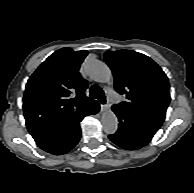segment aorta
<instances>
[{
    "mask_svg": "<svg viewBox=\"0 0 194 193\" xmlns=\"http://www.w3.org/2000/svg\"><path fill=\"white\" fill-rule=\"evenodd\" d=\"M86 72L96 82L105 83L112 79L109 67L99 60L88 61L86 63ZM101 123L107 134H113L118 129V119L112 111H106L102 114Z\"/></svg>",
    "mask_w": 194,
    "mask_h": 193,
    "instance_id": "1",
    "label": "aorta"
}]
</instances>
